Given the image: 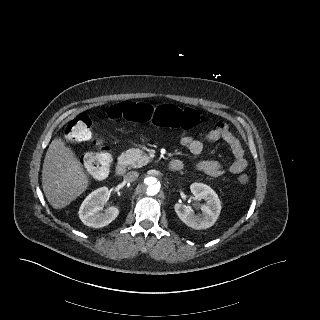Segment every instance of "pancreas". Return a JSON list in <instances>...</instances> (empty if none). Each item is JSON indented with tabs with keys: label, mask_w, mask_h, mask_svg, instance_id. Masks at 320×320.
<instances>
[{
	"label": "pancreas",
	"mask_w": 320,
	"mask_h": 320,
	"mask_svg": "<svg viewBox=\"0 0 320 320\" xmlns=\"http://www.w3.org/2000/svg\"><path fill=\"white\" fill-rule=\"evenodd\" d=\"M118 162L131 168H140L147 165L149 157L139 148H131L123 152L118 158Z\"/></svg>",
	"instance_id": "obj_1"
}]
</instances>
